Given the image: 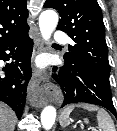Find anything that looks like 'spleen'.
Returning <instances> with one entry per match:
<instances>
[{
  "label": "spleen",
  "instance_id": "spleen-1",
  "mask_svg": "<svg viewBox=\"0 0 117 131\" xmlns=\"http://www.w3.org/2000/svg\"><path fill=\"white\" fill-rule=\"evenodd\" d=\"M76 106L86 109L88 111H97V122H98V126L100 127V130L116 131L114 122L106 110L92 104H87V103L78 104ZM74 108H75V105H70L63 110L60 116L61 126H66L69 124V116Z\"/></svg>",
  "mask_w": 117,
  "mask_h": 131
}]
</instances>
